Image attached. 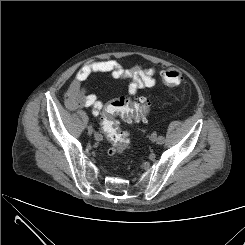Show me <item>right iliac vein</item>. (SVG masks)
Segmentation results:
<instances>
[{
    "mask_svg": "<svg viewBox=\"0 0 245 245\" xmlns=\"http://www.w3.org/2000/svg\"><path fill=\"white\" fill-rule=\"evenodd\" d=\"M87 130H88V134H89V135H92V133H93V128H92L91 125H89V126L87 127ZM95 139H96V140H99V138H98V133H95Z\"/></svg>",
    "mask_w": 245,
    "mask_h": 245,
    "instance_id": "obj_1",
    "label": "right iliac vein"
}]
</instances>
